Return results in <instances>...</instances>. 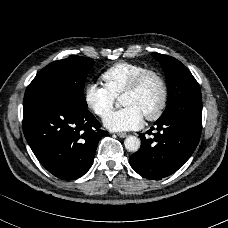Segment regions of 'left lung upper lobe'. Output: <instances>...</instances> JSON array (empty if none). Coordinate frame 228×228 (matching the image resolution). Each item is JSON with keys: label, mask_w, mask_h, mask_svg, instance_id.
I'll list each match as a JSON object with an SVG mask.
<instances>
[{"label": "left lung upper lobe", "mask_w": 228, "mask_h": 228, "mask_svg": "<svg viewBox=\"0 0 228 228\" xmlns=\"http://www.w3.org/2000/svg\"><path fill=\"white\" fill-rule=\"evenodd\" d=\"M152 56L161 64L167 82L168 103L161 117L177 109L202 110L200 87L190 71L173 57L155 52Z\"/></svg>", "instance_id": "left-lung-upper-lobe-1"}]
</instances>
